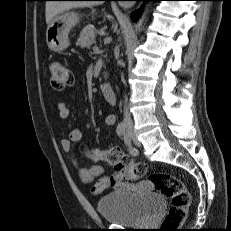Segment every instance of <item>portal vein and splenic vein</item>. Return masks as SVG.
Here are the masks:
<instances>
[{
  "label": "portal vein and splenic vein",
  "mask_w": 231,
  "mask_h": 231,
  "mask_svg": "<svg viewBox=\"0 0 231 231\" xmlns=\"http://www.w3.org/2000/svg\"><path fill=\"white\" fill-rule=\"evenodd\" d=\"M93 50H94L95 52H98V51H99V48L95 45V46L93 47Z\"/></svg>",
  "instance_id": "18ae733b"
}]
</instances>
